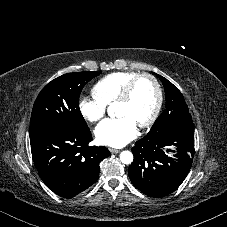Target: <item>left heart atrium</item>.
I'll return each mask as SVG.
<instances>
[{
  "instance_id": "left-heart-atrium-1",
  "label": "left heart atrium",
  "mask_w": 227,
  "mask_h": 227,
  "mask_svg": "<svg viewBox=\"0 0 227 227\" xmlns=\"http://www.w3.org/2000/svg\"><path fill=\"white\" fill-rule=\"evenodd\" d=\"M136 134L137 125L126 116L105 119L95 128L98 142L110 147H122Z\"/></svg>"
}]
</instances>
